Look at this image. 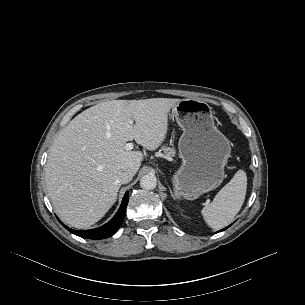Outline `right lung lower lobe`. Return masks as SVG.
Returning <instances> with one entry per match:
<instances>
[{"instance_id": "obj_1", "label": "right lung lower lobe", "mask_w": 305, "mask_h": 305, "mask_svg": "<svg viewBox=\"0 0 305 305\" xmlns=\"http://www.w3.org/2000/svg\"><path fill=\"white\" fill-rule=\"evenodd\" d=\"M128 201H129L128 192H126L123 197L121 206L117 211V213L115 214V216L108 223L97 229L77 231L65 226L58 218L57 219L66 229H68L72 233H75L78 236H81L82 238L95 239V240L105 239L112 236L115 232H117V230L121 226L125 218V212Z\"/></svg>"}]
</instances>
